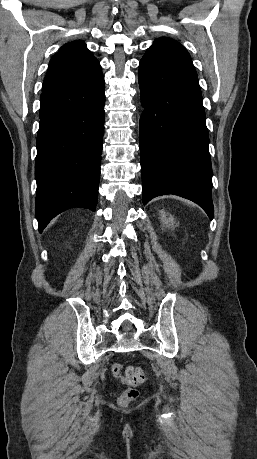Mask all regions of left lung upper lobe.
Wrapping results in <instances>:
<instances>
[{"label": "left lung upper lobe", "instance_id": "5c2ea615", "mask_svg": "<svg viewBox=\"0 0 257 459\" xmlns=\"http://www.w3.org/2000/svg\"><path fill=\"white\" fill-rule=\"evenodd\" d=\"M148 53H157L166 56L182 55L190 57L189 53L180 43L170 38L156 39L153 45L148 48L145 54Z\"/></svg>", "mask_w": 257, "mask_h": 459}]
</instances>
